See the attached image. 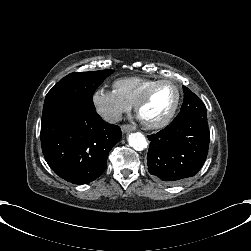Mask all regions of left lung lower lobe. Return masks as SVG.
Here are the masks:
<instances>
[{
  "label": "left lung lower lobe",
  "mask_w": 251,
  "mask_h": 251,
  "mask_svg": "<svg viewBox=\"0 0 251 251\" xmlns=\"http://www.w3.org/2000/svg\"><path fill=\"white\" fill-rule=\"evenodd\" d=\"M209 136L205 118L171 122L160 132L148 136L149 173L166 184H176L194 176L206 160Z\"/></svg>",
  "instance_id": "left-lung-lower-lobe-1"
}]
</instances>
